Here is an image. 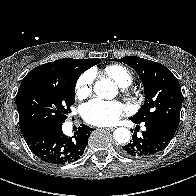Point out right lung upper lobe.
Wrapping results in <instances>:
<instances>
[{"label": "right lung upper lobe", "mask_w": 196, "mask_h": 196, "mask_svg": "<svg viewBox=\"0 0 196 196\" xmlns=\"http://www.w3.org/2000/svg\"><path fill=\"white\" fill-rule=\"evenodd\" d=\"M101 60L98 58L94 59H72L64 58L59 59L54 62H48L43 65H40L33 70H31L23 79V81L30 79L35 76L42 75L48 72H57V71H69L73 72L76 75L80 76L84 71L90 67L98 64ZM26 134H23V136Z\"/></svg>", "instance_id": "1"}]
</instances>
